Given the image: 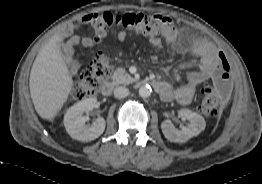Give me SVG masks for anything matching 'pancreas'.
Instances as JSON below:
<instances>
[{
  "instance_id": "cf45deb5",
  "label": "pancreas",
  "mask_w": 262,
  "mask_h": 184,
  "mask_svg": "<svg viewBox=\"0 0 262 184\" xmlns=\"http://www.w3.org/2000/svg\"><path fill=\"white\" fill-rule=\"evenodd\" d=\"M113 83L115 85H119V84H130L132 82L135 81L134 78H132L125 69L123 68H117L114 73H113Z\"/></svg>"
}]
</instances>
